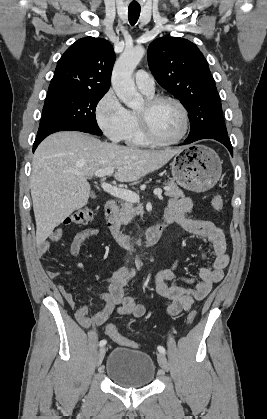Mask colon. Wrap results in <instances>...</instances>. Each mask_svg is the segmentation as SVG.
<instances>
[{
	"instance_id": "1",
	"label": "colon",
	"mask_w": 267,
	"mask_h": 419,
	"mask_svg": "<svg viewBox=\"0 0 267 419\" xmlns=\"http://www.w3.org/2000/svg\"><path fill=\"white\" fill-rule=\"evenodd\" d=\"M212 206L215 210L221 211L224 207V202L221 196H214L212 199ZM93 218V211L90 208H81L74 211L66 220L65 224H76V225H85ZM196 317V312L191 311L187 315L186 322L191 324ZM105 333L116 343L129 347V348H138V344L134 341L129 340L128 338L122 336L115 325L108 324L105 327Z\"/></svg>"
}]
</instances>
